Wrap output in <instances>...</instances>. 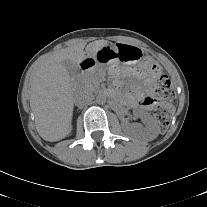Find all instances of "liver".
<instances>
[{
    "instance_id": "6515ba94",
    "label": "liver",
    "mask_w": 207,
    "mask_h": 207,
    "mask_svg": "<svg viewBox=\"0 0 207 207\" xmlns=\"http://www.w3.org/2000/svg\"><path fill=\"white\" fill-rule=\"evenodd\" d=\"M108 44L106 40H96L85 48V44L79 42L52 54L36 67L30 77V107L37 132L44 140L59 141L71 130L76 91L62 62L70 60L79 64L87 58H95Z\"/></svg>"
}]
</instances>
